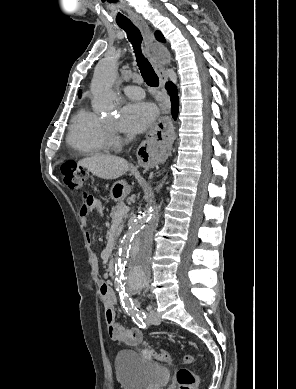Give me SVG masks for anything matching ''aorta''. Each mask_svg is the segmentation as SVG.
<instances>
[{"instance_id": "aorta-1", "label": "aorta", "mask_w": 296, "mask_h": 389, "mask_svg": "<svg viewBox=\"0 0 296 389\" xmlns=\"http://www.w3.org/2000/svg\"><path fill=\"white\" fill-rule=\"evenodd\" d=\"M118 63L114 57L103 59L95 68L91 90L94 102L103 109H115L118 96L113 89ZM159 207L148 206L129 227L116 254V281L120 289L138 292L151 276V251Z\"/></svg>"}]
</instances>
